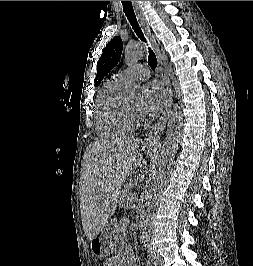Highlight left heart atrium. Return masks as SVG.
Instances as JSON below:
<instances>
[{
  "mask_svg": "<svg viewBox=\"0 0 253 266\" xmlns=\"http://www.w3.org/2000/svg\"><path fill=\"white\" fill-rule=\"evenodd\" d=\"M167 96L159 83L149 82L143 86L140 111L146 116L154 117L166 105Z\"/></svg>",
  "mask_w": 253,
  "mask_h": 266,
  "instance_id": "39dd6f15",
  "label": "left heart atrium"
}]
</instances>
